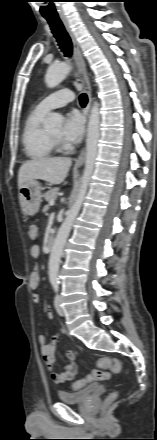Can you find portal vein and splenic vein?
Wrapping results in <instances>:
<instances>
[{
  "label": "portal vein and splenic vein",
  "mask_w": 157,
  "mask_h": 440,
  "mask_svg": "<svg viewBox=\"0 0 157 440\" xmlns=\"http://www.w3.org/2000/svg\"><path fill=\"white\" fill-rule=\"evenodd\" d=\"M49 203H50L51 206H53L54 205V200H51Z\"/></svg>",
  "instance_id": "obj_1"
}]
</instances>
